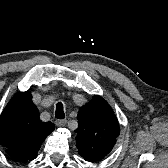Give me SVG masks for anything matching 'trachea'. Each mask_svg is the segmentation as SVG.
Masks as SVG:
<instances>
[{"label":"trachea","instance_id":"trachea-1","mask_svg":"<svg viewBox=\"0 0 168 168\" xmlns=\"http://www.w3.org/2000/svg\"><path fill=\"white\" fill-rule=\"evenodd\" d=\"M55 116H56L57 119H64L65 118V114H64V110H63V104L61 102H58L56 104Z\"/></svg>","mask_w":168,"mask_h":168}]
</instances>
